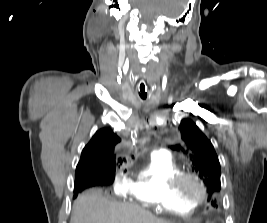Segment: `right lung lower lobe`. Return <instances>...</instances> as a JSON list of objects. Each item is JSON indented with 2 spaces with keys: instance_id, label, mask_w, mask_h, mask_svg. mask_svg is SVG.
<instances>
[{
  "instance_id": "1",
  "label": "right lung lower lobe",
  "mask_w": 267,
  "mask_h": 223,
  "mask_svg": "<svg viewBox=\"0 0 267 223\" xmlns=\"http://www.w3.org/2000/svg\"><path fill=\"white\" fill-rule=\"evenodd\" d=\"M111 182L112 180H108L104 176H101V175H98V176L84 175L81 177H76L75 186H74L75 196H77L78 192H81L82 190L88 187L104 186Z\"/></svg>"
}]
</instances>
